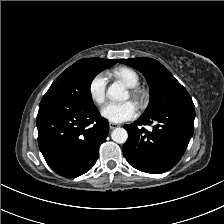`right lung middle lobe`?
<instances>
[{
	"label": "right lung middle lobe",
	"mask_w": 224,
	"mask_h": 224,
	"mask_svg": "<svg viewBox=\"0 0 224 224\" xmlns=\"http://www.w3.org/2000/svg\"><path fill=\"white\" fill-rule=\"evenodd\" d=\"M114 64L102 58L78 60L52 83L45 95L60 97L81 106H95L90 85L97 74Z\"/></svg>",
	"instance_id": "obj_1"
}]
</instances>
